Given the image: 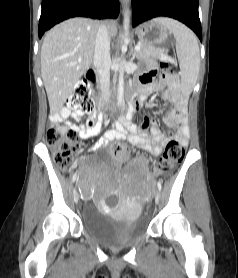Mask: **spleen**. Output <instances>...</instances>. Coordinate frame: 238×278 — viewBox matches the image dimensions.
Here are the masks:
<instances>
[{
    "label": "spleen",
    "instance_id": "obj_1",
    "mask_svg": "<svg viewBox=\"0 0 238 278\" xmlns=\"http://www.w3.org/2000/svg\"><path fill=\"white\" fill-rule=\"evenodd\" d=\"M156 20L174 34L176 52L181 68V86L183 92L189 95L196 84L200 67L197 37L193 31L179 21L166 17Z\"/></svg>",
    "mask_w": 238,
    "mask_h": 278
}]
</instances>
